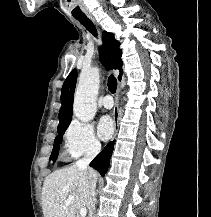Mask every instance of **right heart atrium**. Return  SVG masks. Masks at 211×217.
Listing matches in <instances>:
<instances>
[{
	"label": "right heart atrium",
	"mask_w": 211,
	"mask_h": 217,
	"mask_svg": "<svg viewBox=\"0 0 211 217\" xmlns=\"http://www.w3.org/2000/svg\"><path fill=\"white\" fill-rule=\"evenodd\" d=\"M65 150L72 158L96 155L101 143L95 135L93 126L80 120H73L68 126L65 136Z\"/></svg>",
	"instance_id": "right-heart-atrium-1"
}]
</instances>
